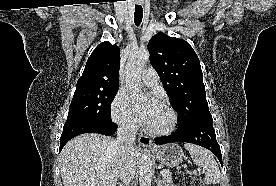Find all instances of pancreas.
Segmentation results:
<instances>
[{
	"label": "pancreas",
	"mask_w": 276,
	"mask_h": 186,
	"mask_svg": "<svg viewBox=\"0 0 276 186\" xmlns=\"http://www.w3.org/2000/svg\"><path fill=\"white\" fill-rule=\"evenodd\" d=\"M163 183H164V186H174L172 181V173L170 171H169V175L163 178Z\"/></svg>",
	"instance_id": "cf45deb5"
}]
</instances>
